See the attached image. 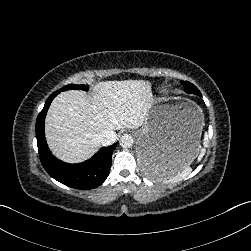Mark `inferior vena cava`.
Listing matches in <instances>:
<instances>
[{"mask_svg": "<svg viewBox=\"0 0 251 251\" xmlns=\"http://www.w3.org/2000/svg\"><path fill=\"white\" fill-rule=\"evenodd\" d=\"M96 139L100 141L102 146H109L117 140V134L115 131L107 129L97 134Z\"/></svg>", "mask_w": 251, "mask_h": 251, "instance_id": "inferior-vena-cava-1", "label": "inferior vena cava"}]
</instances>
